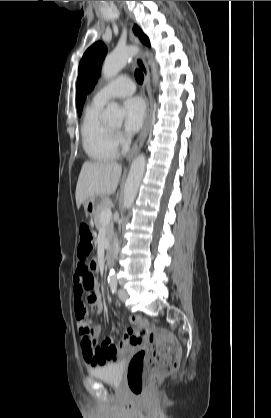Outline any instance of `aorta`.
<instances>
[{"label":"aorta","mask_w":271,"mask_h":418,"mask_svg":"<svg viewBox=\"0 0 271 418\" xmlns=\"http://www.w3.org/2000/svg\"><path fill=\"white\" fill-rule=\"evenodd\" d=\"M136 47L128 46L125 48L115 49L112 53L106 56L103 66L102 74L106 79L116 76L127 64L128 60L137 53ZM152 72L154 82L157 83L158 76L155 63L152 62ZM124 118V112L117 103H110L104 113L105 121L121 125ZM146 157L144 154L138 155L132 162L130 171L124 187V207L131 208L133 205L138 189L145 172ZM110 280L116 279V272L110 271Z\"/></svg>","instance_id":"aorta-1"}]
</instances>
